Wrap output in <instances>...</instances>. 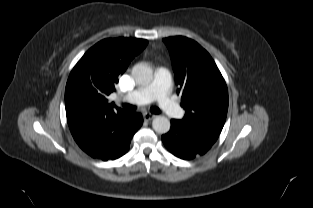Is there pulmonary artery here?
<instances>
[{"label":"pulmonary artery","instance_id":"1","mask_svg":"<svg viewBox=\"0 0 313 208\" xmlns=\"http://www.w3.org/2000/svg\"><path fill=\"white\" fill-rule=\"evenodd\" d=\"M171 73L165 67L155 70L154 80L145 87L138 88L126 96V101L133 104H147L157 100L159 106L172 118H180L182 108L171 98Z\"/></svg>","mask_w":313,"mask_h":208}]
</instances>
